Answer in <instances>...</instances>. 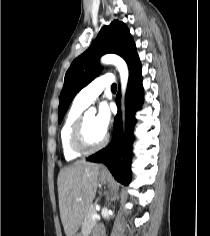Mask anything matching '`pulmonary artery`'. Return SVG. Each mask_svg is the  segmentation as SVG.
<instances>
[{"label": "pulmonary artery", "mask_w": 210, "mask_h": 236, "mask_svg": "<svg viewBox=\"0 0 210 236\" xmlns=\"http://www.w3.org/2000/svg\"><path fill=\"white\" fill-rule=\"evenodd\" d=\"M114 77L111 74L101 76L83 88L76 96L75 101L87 107L103 91L105 87L113 84Z\"/></svg>", "instance_id": "pulmonary-artery-1"}]
</instances>
